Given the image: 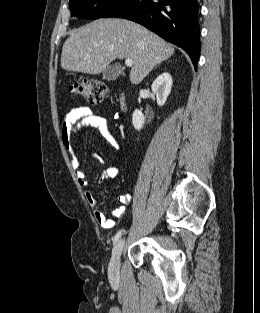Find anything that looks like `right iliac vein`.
Instances as JSON below:
<instances>
[{
	"mask_svg": "<svg viewBox=\"0 0 260 313\" xmlns=\"http://www.w3.org/2000/svg\"><path fill=\"white\" fill-rule=\"evenodd\" d=\"M124 244L125 240L122 238L116 242L112 250V256L108 267V274L111 279H116L119 276L120 256L124 248Z\"/></svg>",
	"mask_w": 260,
	"mask_h": 313,
	"instance_id": "1",
	"label": "right iliac vein"
}]
</instances>
